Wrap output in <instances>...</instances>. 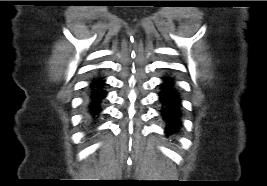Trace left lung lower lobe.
Listing matches in <instances>:
<instances>
[{
  "label": "left lung lower lobe",
  "mask_w": 267,
  "mask_h": 186,
  "mask_svg": "<svg viewBox=\"0 0 267 186\" xmlns=\"http://www.w3.org/2000/svg\"><path fill=\"white\" fill-rule=\"evenodd\" d=\"M159 100L161 102V116L166 123L165 133L167 136L176 133L181 126V98L176 90L172 78H162Z\"/></svg>",
  "instance_id": "left-lung-lower-lobe-1"
}]
</instances>
